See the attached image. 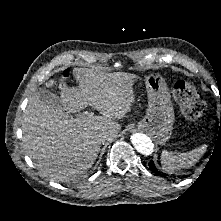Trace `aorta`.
Wrapping results in <instances>:
<instances>
[{
	"label": "aorta",
	"mask_w": 221,
	"mask_h": 221,
	"mask_svg": "<svg viewBox=\"0 0 221 221\" xmlns=\"http://www.w3.org/2000/svg\"><path fill=\"white\" fill-rule=\"evenodd\" d=\"M130 139L131 143L139 153L150 155L153 152L154 145L151 139L145 134L134 133L131 135Z\"/></svg>",
	"instance_id": "aorta-1"
}]
</instances>
